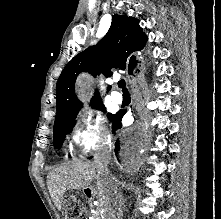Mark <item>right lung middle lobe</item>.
<instances>
[{"label": "right lung middle lobe", "mask_w": 221, "mask_h": 219, "mask_svg": "<svg viewBox=\"0 0 221 219\" xmlns=\"http://www.w3.org/2000/svg\"><path fill=\"white\" fill-rule=\"evenodd\" d=\"M92 107L98 108L104 111V107L100 101L93 102ZM80 109H81V106L75 108L74 110L70 111L69 113L55 120L54 128H53V138H54L55 148H58L59 145L63 142L64 136L67 133H70L72 131V128L75 125V118ZM108 117L111 120H113L114 115L109 114Z\"/></svg>", "instance_id": "right-lung-middle-lobe-1"}]
</instances>
